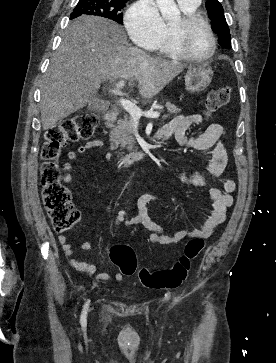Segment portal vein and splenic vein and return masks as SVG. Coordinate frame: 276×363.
I'll return each mask as SVG.
<instances>
[{"label":"portal vein and splenic vein","mask_w":276,"mask_h":363,"mask_svg":"<svg viewBox=\"0 0 276 363\" xmlns=\"http://www.w3.org/2000/svg\"><path fill=\"white\" fill-rule=\"evenodd\" d=\"M125 85L124 80H120L116 84V88L113 90L116 94L120 93V89ZM122 107L135 119L138 120L140 117L144 116L147 118H158L160 116L159 112L153 111H142L137 105L132 103L127 99L120 98L119 100Z\"/></svg>","instance_id":"1"}]
</instances>
